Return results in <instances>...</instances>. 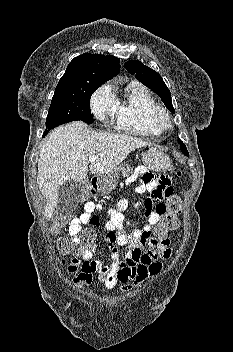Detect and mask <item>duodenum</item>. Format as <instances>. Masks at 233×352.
<instances>
[{"label": "duodenum", "instance_id": "410a0bca", "mask_svg": "<svg viewBox=\"0 0 233 352\" xmlns=\"http://www.w3.org/2000/svg\"><path fill=\"white\" fill-rule=\"evenodd\" d=\"M97 185H98L97 180H96V179H93V181H92V187H93V189H97Z\"/></svg>", "mask_w": 233, "mask_h": 352}]
</instances>
